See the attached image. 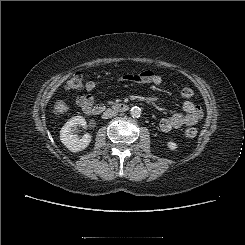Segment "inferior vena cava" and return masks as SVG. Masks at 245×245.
<instances>
[{
  "mask_svg": "<svg viewBox=\"0 0 245 245\" xmlns=\"http://www.w3.org/2000/svg\"><path fill=\"white\" fill-rule=\"evenodd\" d=\"M117 115V111L115 110H106L103 114H102V118L103 119H107V118H111L113 116Z\"/></svg>",
  "mask_w": 245,
  "mask_h": 245,
  "instance_id": "inferior-vena-cava-1",
  "label": "inferior vena cava"
}]
</instances>
